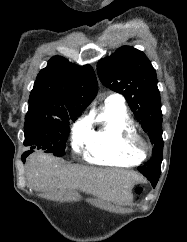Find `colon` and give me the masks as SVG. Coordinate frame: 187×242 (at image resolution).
<instances>
[{"mask_svg": "<svg viewBox=\"0 0 187 242\" xmlns=\"http://www.w3.org/2000/svg\"><path fill=\"white\" fill-rule=\"evenodd\" d=\"M141 191H142V189H141L140 187H137V188H136V193H137V194H140Z\"/></svg>", "mask_w": 187, "mask_h": 242, "instance_id": "5ec220e1", "label": "colon"}]
</instances>
